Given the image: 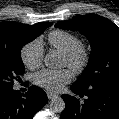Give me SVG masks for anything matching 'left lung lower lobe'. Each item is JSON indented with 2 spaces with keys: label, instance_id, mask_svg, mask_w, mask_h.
I'll use <instances>...</instances> for the list:
<instances>
[{
  "label": "left lung lower lobe",
  "instance_id": "1",
  "mask_svg": "<svg viewBox=\"0 0 119 119\" xmlns=\"http://www.w3.org/2000/svg\"><path fill=\"white\" fill-rule=\"evenodd\" d=\"M73 93L85 100L64 94L61 97L66 107L60 119H119V86L94 85L81 88L73 84Z\"/></svg>",
  "mask_w": 119,
  "mask_h": 119
}]
</instances>
